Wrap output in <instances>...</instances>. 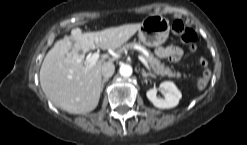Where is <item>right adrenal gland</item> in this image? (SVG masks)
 <instances>
[{
    "label": "right adrenal gland",
    "mask_w": 247,
    "mask_h": 145,
    "mask_svg": "<svg viewBox=\"0 0 247 145\" xmlns=\"http://www.w3.org/2000/svg\"><path fill=\"white\" fill-rule=\"evenodd\" d=\"M108 80H109L108 78H104V79L102 80L101 90H103L104 84H105V82H107Z\"/></svg>",
    "instance_id": "right-adrenal-gland-1"
}]
</instances>
